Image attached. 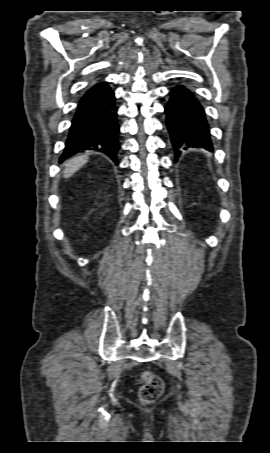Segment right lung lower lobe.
I'll use <instances>...</instances> for the list:
<instances>
[{
    "instance_id": "1",
    "label": "right lung lower lobe",
    "mask_w": 270,
    "mask_h": 453,
    "mask_svg": "<svg viewBox=\"0 0 270 453\" xmlns=\"http://www.w3.org/2000/svg\"><path fill=\"white\" fill-rule=\"evenodd\" d=\"M115 95L106 82L90 89L80 99L60 162L85 150L102 152L115 164L119 149Z\"/></svg>"
}]
</instances>
